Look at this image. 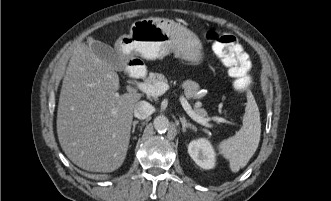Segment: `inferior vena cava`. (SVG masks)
Here are the masks:
<instances>
[{
	"instance_id": "1",
	"label": "inferior vena cava",
	"mask_w": 331,
	"mask_h": 201,
	"mask_svg": "<svg viewBox=\"0 0 331 201\" xmlns=\"http://www.w3.org/2000/svg\"><path fill=\"white\" fill-rule=\"evenodd\" d=\"M153 112L154 107L146 101H139L135 104L134 116L138 119H145L149 117Z\"/></svg>"
}]
</instances>
